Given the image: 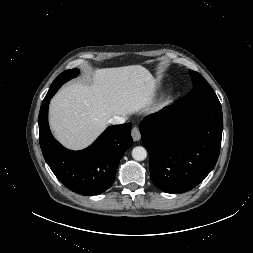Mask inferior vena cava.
<instances>
[{
	"label": "inferior vena cava",
	"mask_w": 253,
	"mask_h": 253,
	"mask_svg": "<svg viewBox=\"0 0 253 253\" xmlns=\"http://www.w3.org/2000/svg\"><path fill=\"white\" fill-rule=\"evenodd\" d=\"M110 124L116 125V124H122L125 122V117L122 116H114L109 119L108 121Z\"/></svg>",
	"instance_id": "1"
}]
</instances>
